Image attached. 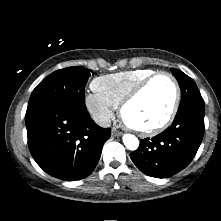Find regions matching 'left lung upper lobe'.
Wrapping results in <instances>:
<instances>
[{
  "instance_id": "obj_1",
  "label": "left lung upper lobe",
  "mask_w": 221,
  "mask_h": 221,
  "mask_svg": "<svg viewBox=\"0 0 221 221\" xmlns=\"http://www.w3.org/2000/svg\"><path fill=\"white\" fill-rule=\"evenodd\" d=\"M172 74L176 77L181 88V102L179 108L190 104H204V100L194 80L181 70L172 68Z\"/></svg>"
}]
</instances>
